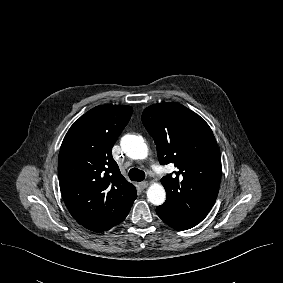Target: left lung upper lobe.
<instances>
[{
  "instance_id": "obj_1",
  "label": "left lung upper lobe",
  "mask_w": 283,
  "mask_h": 283,
  "mask_svg": "<svg viewBox=\"0 0 283 283\" xmlns=\"http://www.w3.org/2000/svg\"><path fill=\"white\" fill-rule=\"evenodd\" d=\"M142 122L155 141L159 162L178 169L161 179L167 198L158 208L201 222L216 201L221 179L220 153L211 128L199 115L173 102L147 107Z\"/></svg>"
}]
</instances>
